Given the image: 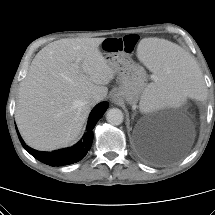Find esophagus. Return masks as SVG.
Returning a JSON list of instances; mask_svg holds the SVG:
<instances>
[{
    "label": "esophagus",
    "mask_w": 215,
    "mask_h": 215,
    "mask_svg": "<svg viewBox=\"0 0 215 215\" xmlns=\"http://www.w3.org/2000/svg\"><path fill=\"white\" fill-rule=\"evenodd\" d=\"M117 101H118L117 96L116 95L112 96V102L116 103Z\"/></svg>",
    "instance_id": "esophagus-1"
}]
</instances>
